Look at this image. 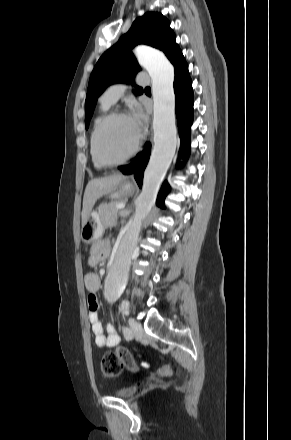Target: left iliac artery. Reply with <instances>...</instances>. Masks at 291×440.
<instances>
[{
	"instance_id": "obj_1",
	"label": "left iliac artery",
	"mask_w": 291,
	"mask_h": 440,
	"mask_svg": "<svg viewBox=\"0 0 291 440\" xmlns=\"http://www.w3.org/2000/svg\"><path fill=\"white\" fill-rule=\"evenodd\" d=\"M124 335L126 338H131V332L128 329H124Z\"/></svg>"
}]
</instances>
